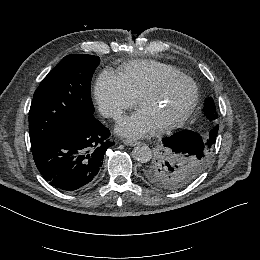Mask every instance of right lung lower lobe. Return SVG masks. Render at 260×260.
Returning <instances> with one entry per match:
<instances>
[{
	"instance_id": "obj_1",
	"label": "right lung lower lobe",
	"mask_w": 260,
	"mask_h": 260,
	"mask_svg": "<svg viewBox=\"0 0 260 260\" xmlns=\"http://www.w3.org/2000/svg\"><path fill=\"white\" fill-rule=\"evenodd\" d=\"M109 136L110 131L90 116L32 147L33 158L50 185L66 192L80 191L96 180L106 150L115 144Z\"/></svg>"
}]
</instances>
